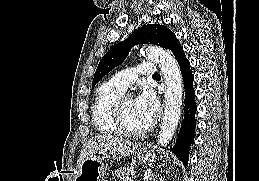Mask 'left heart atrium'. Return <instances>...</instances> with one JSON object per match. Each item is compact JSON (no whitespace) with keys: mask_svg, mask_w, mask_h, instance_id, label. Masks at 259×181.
<instances>
[{"mask_svg":"<svg viewBox=\"0 0 259 181\" xmlns=\"http://www.w3.org/2000/svg\"><path fill=\"white\" fill-rule=\"evenodd\" d=\"M135 101L141 114L152 121L159 110L157 97L151 91L145 89L135 98Z\"/></svg>","mask_w":259,"mask_h":181,"instance_id":"1","label":"left heart atrium"}]
</instances>
